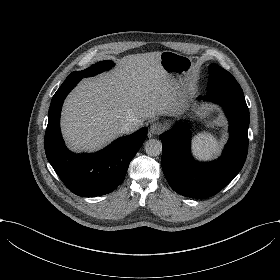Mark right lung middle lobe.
Segmentation results:
<instances>
[{
  "instance_id": "dd1d6c3e",
  "label": "right lung middle lobe",
  "mask_w": 280,
  "mask_h": 280,
  "mask_svg": "<svg viewBox=\"0 0 280 280\" xmlns=\"http://www.w3.org/2000/svg\"><path fill=\"white\" fill-rule=\"evenodd\" d=\"M113 66H114V63L111 61H100L83 71H75L74 73L80 74L83 77H90V76H94L104 70H108Z\"/></svg>"
}]
</instances>
